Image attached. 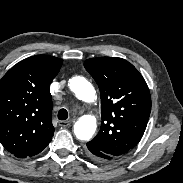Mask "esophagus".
<instances>
[{
  "instance_id": "34e87169",
  "label": "esophagus",
  "mask_w": 183,
  "mask_h": 183,
  "mask_svg": "<svg viewBox=\"0 0 183 183\" xmlns=\"http://www.w3.org/2000/svg\"><path fill=\"white\" fill-rule=\"evenodd\" d=\"M74 121L73 120H67V121H60L59 125L62 127H68L70 126Z\"/></svg>"
}]
</instances>
